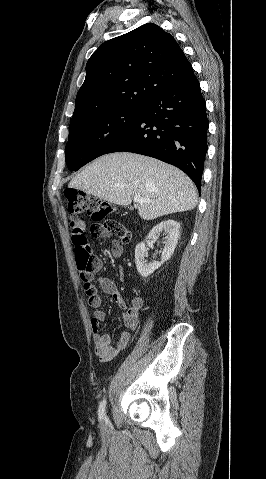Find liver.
Wrapping results in <instances>:
<instances>
[{
  "label": "liver",
  "instance_id": "1",
  "mask_svg": "<svg viewBox=\"0 0 266 479\" xmlns=\"http://www.w3.org/2000/svg\"><path fill=\"white\" fill-rule=\"evenodd\" d=\"M69 188L85 191L117 205H129L141 196L138 214L144 220L192 210L197 189L178 168L157 159L128 152L103 155L78 173Z\"/></svg>",
  "mask_w": 266,
  "mask_h": 479
}]
</instances>
